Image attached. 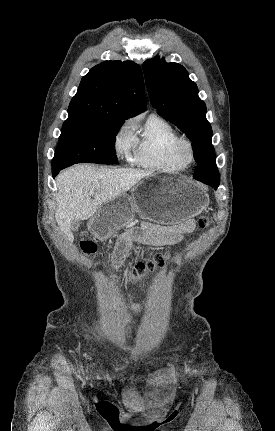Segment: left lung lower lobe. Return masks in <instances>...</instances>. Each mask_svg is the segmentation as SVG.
I'll list each match as a JSON object with an SVG mask.
<instances>
[{
    "label": "left lung lower lobe",
    "instance_id": "obj_1",
    "mask_svg": "<svg viewBox=\"0 0 275 431\" xmlns=\"http://www.w3.org/2000/svg\"><path fill=\"white\" fill-rule=\"evenodd\" d=\"M214 176L215 175L212 172H210V173H202V174H196V175L194 174L193 177L196 180H199L205 184L212 186L216 190L220 182H217Z\"/></svg>",
    "mask_w": 275,
    "mask_h": 431
}]
</instances>
